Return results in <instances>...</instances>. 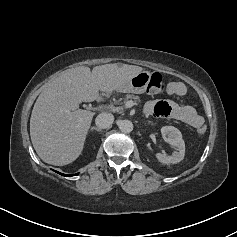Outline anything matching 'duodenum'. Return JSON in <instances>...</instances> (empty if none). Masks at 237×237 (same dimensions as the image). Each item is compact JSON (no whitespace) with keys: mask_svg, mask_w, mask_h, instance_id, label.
Wrapping results in <instances>:
<instances>
[{"mask_svg":"<svg viewBox=\"0 0 237 237\" xmlns=\"http://www.w3.org/2000/svg\"><path fill=\"white\" fill-rule=\"evenodd\" d=\"M98 101H102V97H99Z\"/></svg>","mask_w":237,"mask_h":237,"instance_id":"410a0bca","label":"duodenum"}]
</instances>
